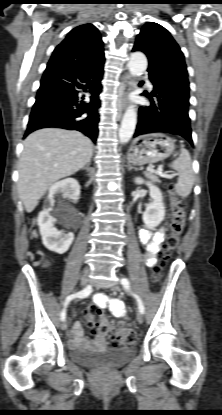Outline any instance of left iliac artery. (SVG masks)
Masks as SVG:
<instances>
[{
    "mask_svg": "<svg viewBox=\"0 0 222 415\" xmlns=\"http://www.w3.org/2000/svg\"><path fill=\"white\" fill-rule=\"evenodd\" d=\"M121 284H122V286L127 290V291H129L130 292V282H129V280L127 279V278H123L122 280H121ZM132 295L136 298V300H137V303H138V309H139V311L143 314L144 312H145V308H144V305H143V302H142V300L139 298V296H137L136 294H133L132 293Z\"/></svg>",
    "mask_w": 222,
    "mask_h": 415,
    "instance_id": "44dca946",
    "label": "left iliac artery"
}]
</instances>
